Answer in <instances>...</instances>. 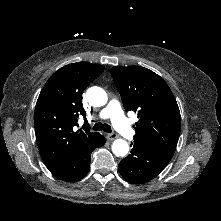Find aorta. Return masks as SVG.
I'll list each match as a JSON object with an SVG mask.
<instances>
[{
	"label": "aorta",
	"mask_w": 221,
	"mask_h": 221,
	"mask_svg": "<svg viewBox=\"0 0 221 221\" xmlns=\"http://www.w3.org/2000/svg\"><path fill=\"white\" fill-rule=\"evenodd\" d=\"M89 104L94 107H101L107 103L108 97L104 89L94 86L86 92ZM112 151L117 157L125 156L129 151L128 143L123 139H116L112 144Z\"/></svg>",
	"instance_id": "obj_1"
}]
</instances>
